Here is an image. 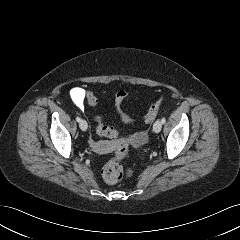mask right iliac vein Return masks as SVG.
Instances as JSON below:
<instances>
[{
  "mask_svg": "<svg viewBox=\"0 0 240 240\" xmlns=\"http://www.w3.org/2000/svg\"><path fill=\"white\" fill-rule=\"evenodd\" d=\"M79 127L82 131H86L88 128L87 122L85 120H81L79 122Z\"/></svg>",
  "mask_w": 240,
  "mask_h": 240,
  "instance_id": "1",
  "label": "right iliac vein"
}]
</instances>
